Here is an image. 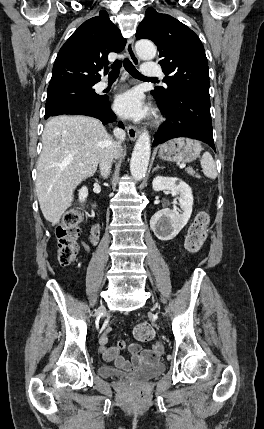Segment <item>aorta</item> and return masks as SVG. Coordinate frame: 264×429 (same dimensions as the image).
<instances>
[{
  "label": "aorta",
  "mask_w": 264,
  "mask_h": 429,
  "mask_svg": "<svg viewBox=\"0 0 264 429\" xmlns=\"http://www.w3.org/2000/svg\"><path fill=\"white\" fill-rule=\"evenodd\" d=\"M137 55L143 60H151L156 56V47L149 40H139L135 44ZM151 153L149 133L144 130L140 133L130 161V172L136 181L143 179L147 172Z\"/></svg>",
  "instance_id": "762f6f07"
}]
</instances>
